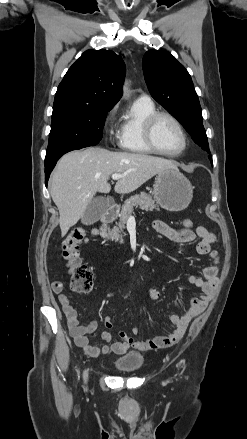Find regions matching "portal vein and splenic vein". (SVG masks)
Returning a JSON list of instances; mask_svg holds the SVG:
<instances>
[{"label":"portal vein and splenic vein","instance_id":"obj_1","mask_svg":"<svg viewBox=\"0 0 247 439\" xmlns=\"http://www.w3.org/2000/svg\"><path fill=\"white\" fill-rule=\"evenodd\" d=\"M121 177H122L121 174H112V176H111V178H112L113 180H118V179H120Z\"/></svg>","mask_w":247,"mask_h":439}]
</instances>
